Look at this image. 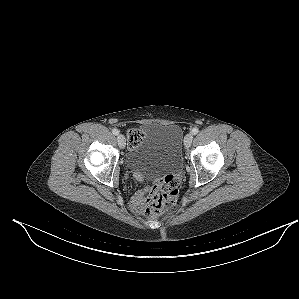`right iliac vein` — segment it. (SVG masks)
<instances>
[{"instance_id": "63e3f726", "label": "right iliac vein", "mask_w": 299, "mask_h": 299, "mask_svg": "<svg viewBox=\"0 0 299 299\" xmlns=\"http://www.w3.org/2000/svg\"><path fill=\"white\" fill-rule=\"evenodd\" d=\"M117 141H118V144H119L120 148H124L125 147L126 140H125L124 135L118 134Z\"/></svg>"}]
</instances>
